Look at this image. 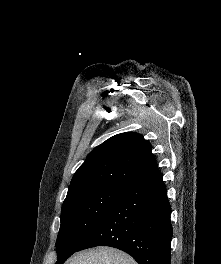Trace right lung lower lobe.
Returning <instances> with one entry per match:
<instances>
[{"instance_id":"right-lung-lower-lobe-1","label":"right lung lower lobe","mask_w":221,"mask_h":264,"mask_svg":"<svg viewBox=\"0 0 221 264\" xmlns=\"http://www.w3.org/2000/svg\"><path fill=\"white\" fill-rule=\"evenodd\" d=\"M162 177L156 171L129 183L76 251L111 246L139 264H170L171 207Z\"/></svg>"}]
</instances>
